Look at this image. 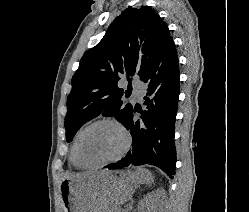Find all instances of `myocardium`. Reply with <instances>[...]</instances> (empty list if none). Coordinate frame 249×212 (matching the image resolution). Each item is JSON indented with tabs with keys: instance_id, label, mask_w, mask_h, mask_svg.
Returning a JSON list of instances; mask_svg holds the SVG:
<instances>
[{
	"instance_id": "1",
	"label": "myocardium",
	"mask_w": 249,
	"mask_h": 212,
	"mask_svg": "<svg viewBox=\"0 0 249 212\" xmlns=\"http://www.w3.org/2000/svg\"><path fill=\"white\" fill-rule=\"evenodd\" d=\"M100 125H111L117 128V130L120 132L122 138H123V146L122 149L120 150L119 154L111 159H108L106 161L100 162V163H96V164H86L84 163L80 157H79V153H78V147H79V143L81 141V139L83 138V136L90 131L91 129L100 126ZM132 145V136L131 133L129 131V129L126 127V125L124 123H122L121 121L115 119V118H110V117H104L98 120L93 121L92 123L88 124L87 126H85L77 135V137L75 138L74 141V145H73V155H74V159L76 161V163L84 169H99V168H103L109 165H112L118 161H120L123 157L126 156V154L129 152L130 148Z\"/></svg>"
}]
</instances>
